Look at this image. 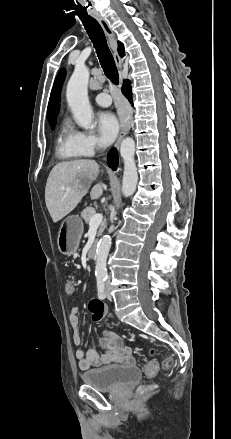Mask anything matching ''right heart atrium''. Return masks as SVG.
<instances>
[{"instance_id":"right-heart-atrium-1","label":"right heart atrium","mask_w":231,"mask_h":439,"mask_svg":"<svg viewBox=\"0 0 231 439\" xmlns=\"http://www.w3.org/2000/svg\"><path fill=\"white\" fill-rule=\"evenodd\" d=\"M75 138L77 148L84 156H92L98 149L103 147L100 139L89 132L76 131Z\"/></svg>"}]
</instances>
